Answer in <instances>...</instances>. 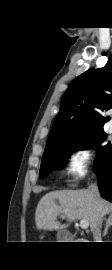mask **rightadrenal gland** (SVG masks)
Returning a JSON list of instances; mask_svg holds the SVG:
<instances>
[{"instance_id": "1", "label": "right adrenal gland", "mask_w": 112, "mask_h": 270, "mask_svg": "<svg viewBox=\"0 0 112 270\" xmlns=\"http://www.w3.org/2000/svg\"><path fill=\"white\" fill-rule=\"evenodd\" d=\"M110 226H112V213L109 215L108 219L106 220V227H105V230L103 232V236L107 235V232H108V229Z\"/></svg>"}]
</instances>
